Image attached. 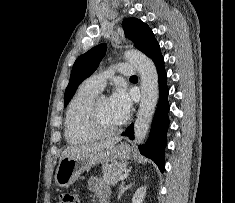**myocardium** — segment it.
Returning <instances> with one entry per match:
<instances>
[{"mask_svg": "<svg viewBox=\"0 0 235 203\" xmlns=\"http://www.w3.org/2000/svg\"><path fill=\"white\" fill-rule=\"evenodd\" d=\"M102 98L105 97L103 96L95 97L89 106V112H88L89 126L93 130V132H95L99 137L113 136L122 131L123 127L126 124V120L124 119L122 123L115 128L112 129L105 128L102 125L99 118V102Z\"/></svg>", "mask_w": 235, "mask_h": 203, "instance_id": "obj_1", "label": "myocardium"}]
</instances>
